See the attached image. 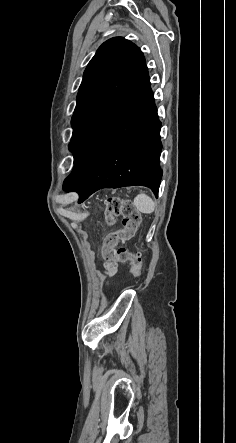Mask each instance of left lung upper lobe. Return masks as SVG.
Returning <instances> with one entry per match:
<instances>
[{
    "instance_id": "5c2ea615",
    "label": "left lung upper lobe",
    "mask_w": 236,
    "mask_h": 443,
    "mask_svg": "<svg viewBox=\"0 0 236 443\" xmlns=\"http://www.w3.org/2000/svg\"><path fill=\"white\" fill-rule=\"evenodd\" d=\"M146 64L142 51L131 41L114 37L104 42L89 62L77 95L71 120L69 150L92 124L126 91Z\"/></svg>"
}]
</instances>
